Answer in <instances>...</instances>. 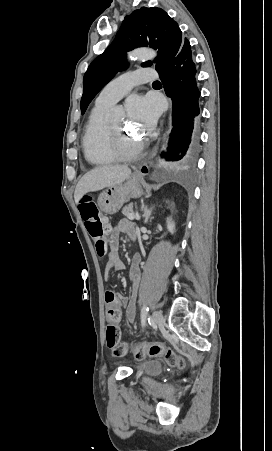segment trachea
<instances>
[{
    "instance_id": "obj_1",
    "label": "trachea",
    "mask_w": 272,
    "mask_h": 451,
    "mask_svg": "<svg viewBox=\"0 0 272 451\" xmlns=\"http://www.w3.org/2000/svg\"><path fill=\"white\" fill-rule=\"evenodd\" d=\"M154 84H156V83H160V82H153Z\"/></svg>"
}]
</instances>
